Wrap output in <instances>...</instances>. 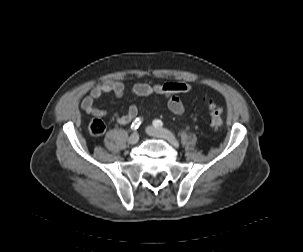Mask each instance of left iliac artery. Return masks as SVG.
Instances as JSON below:
<instances>
[{"mask_svg":"<svg viewBox=\"0 0 303 252\" xmlns=\"http://www.w3.org/2000/svg\"><path fill=\"white\" fill-rule=\"evenodd\" d=\"M153 125H154V127L159 128V127H162L163 123H162L161 120L156 119V120L153 121Z\"/></svg>","mask_w":303,"mask_h":252,"instance_id":"1","label":"left iliac artery"}]
</instances>
